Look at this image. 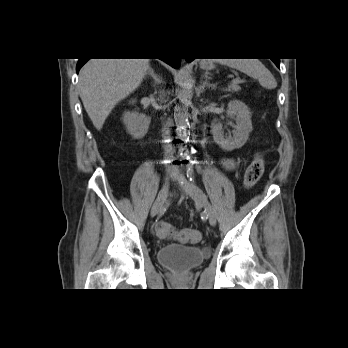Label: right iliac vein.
<instances>
[{
    "mask_svg": "<svg viewBox=\"0 0 348 348\" xmlns=\"http://www.w3.org/2000/svg\"><path fill=\"white\" fill-rule=\"evenodd\" d=\"M168 194H169V181L166 180L162 188L160 189L155 202L152 205L151 212H150L152 217L157 215L158 212L161 210L164 202L166 201L168 197Z\"/></svg>",
    "mask_w": 348,
    "mask_h": 348,
    "instance_id": "right-iliac-vein-1",
    "label": "right iliac vein"
}]
</instances>
